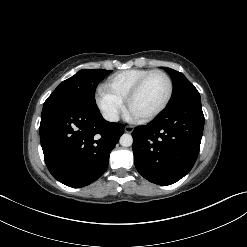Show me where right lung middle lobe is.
I'll return each instance as SVG.
<instances>
[{"label":"right lung middle lobe","instance_id":"dd1d6c3e","mask_svg":"<svg viewBox=\"0 0 247 247\" xmlns=\"http://www.w3.org/2000/svg\"><path fill=\"white\" fill-rule=\"evenodd\" d=\"M112 70L82 69L63 81L48 97L44 106L56 102H70L86 107H97L95 89Z\"/></svg>","mask_w":247,"mask_h":247}]
</instances>
